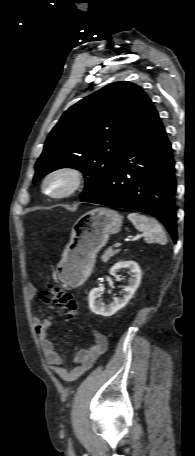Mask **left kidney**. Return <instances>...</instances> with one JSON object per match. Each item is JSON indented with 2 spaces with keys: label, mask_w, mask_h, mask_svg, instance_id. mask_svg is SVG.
I'll return each mask as SVG.
<instances>
[{
  "label": "left kidney",
  "mask_w": 195,
  "mask_h": 456,
  "mask_svg": "<svg viewBox=\"0 0 195 456\" xmlns=\"http://www.w3.org/2000/svg\"><path fill=\"white\" fill-rule=\"evenodd\" d=\"M122 269H128L131 273V277L128 280V285L124 286V295L121 298L115 297L113 302L109 305H105L100 299L101 289L94 288L89 293V307L91 311L97 315L109 317L114 315L117 311L122 309L129 300L133 297L135 291L140 285L141 281V269L138 263L134 261H123L116 263L110 269V275H116Z\"/></svg>",
  "instance_id": "obj_1"
}]
</instances>
